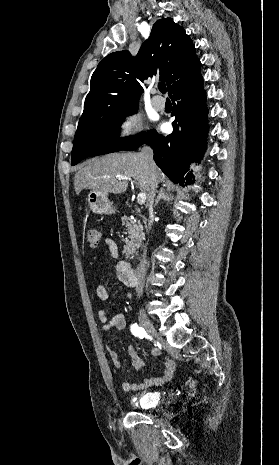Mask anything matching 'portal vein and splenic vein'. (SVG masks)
Returning a JSON list of instances; mask_svg holds the SVG:
<instances>
[{
  "label": "portal vein and splenic vein",
  "mask_w": 279,
  "mask_h": 465,
  "mask_svg": "<svg viewBox=\"0 0 279 465\" xmlns=\"http://www.w3.org/2000/svg\"><path fill=\"white\" fill-rule=\"evenodd\" d=\"M118 180H129V181L133 182L131 177H129V176H118ZM145 201H146V194L145 193H139L138 196H137L138 204L142 205V204L145 203Z\"/></svg>",
  "instance_id": "obj_1"
}]
</instances>
